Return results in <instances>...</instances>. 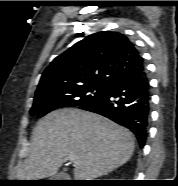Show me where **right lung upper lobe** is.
I'll return each mask as SVG.
<instances>
[{
  "mask_svg": "<svg viewBox=\"0 0 178 186\" xmlns=\"http://www.w3.org/2000/svg\"><path fill=\"white\" fill-rule=\"evenodd\" d=\"M143 64L139 51L126 36L98 32L56 57L43 72L36 93L91 83L110 84Z\"/></svg>",
  "mask_w": 178,
  "mask_h": 186,
  "instance_id": "obj_1",
  "label": "right lung upper lobe"
}]
</instances>
